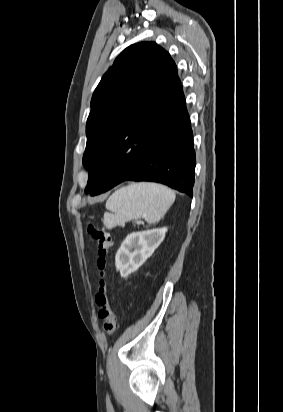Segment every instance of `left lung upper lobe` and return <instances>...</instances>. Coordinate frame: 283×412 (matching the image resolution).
Returning <instances> with one entry per match:
<instances>
[{
    "mask_svg": "<svg viewBox=\"0 0 283 412\" xmlns=\"http://www.w3.org/2000/svg\"><path fill=\"white\" fill-rule=\"evenodd\" d=\"M181 91L174 61L154 42L131 45L115 59L91 100L83 155L89 170L86 193L98 194L94 176L108 153L141 156Z\"/></svg>",
    "mask_w": 283,
    "mask_h": 412,
    "instance_id": "obj_1",
    "label": "left lung upper lobe"
}]
</instances>
